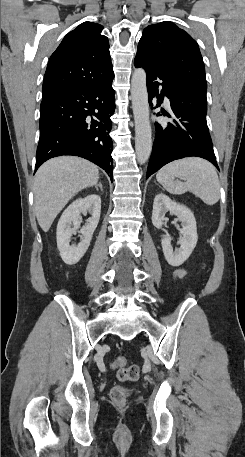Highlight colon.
Wrapping results in <instances>:
<instances>
[{
	"instance_id": "5ec220e1",
	"label": "colon",
	"mask_w": 245,
	"mask_h": 457,
	"mask_svg": "<svg viewBox=\"0 0 245 457\" xmlns=\"http://www.w3.org/2000/svg\"><path fill=\"white\" fill-rule=\"evenodd\" d=\"M113 367L117 369V378L120 381H134L139 377L137 365L127 366L125 357L119 356L113 361ZM128 389L123 386H114L110 391L112 402L118 406L125 404L128 396Z\"/></svg>"
}]
</instances>
